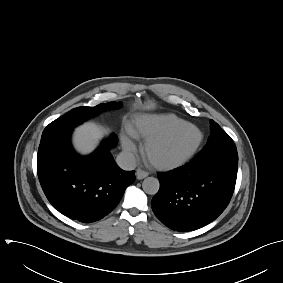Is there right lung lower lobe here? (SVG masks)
Listing matches in <instances>:
<instances>
[{"label": "right lung lower lobe", "mask_w": 283, "mask_h": 283, "mask_svg": "<svg viewBox=\"0 0 283 283\" xmlns=\"http://www.w3.org/2000/svg\"><path fill=\"white\" fill-rule=\"evenodd\" d=\"M72 130L41 141L37 171L49 202L67 217L84 223L100 220L121 200L135 181L134 171H124L109 152L107 142L82 157L72 148ZM111 143H117L113 135Z\"/></svg>", "instance_id": "obj_1"}]
</instances>
